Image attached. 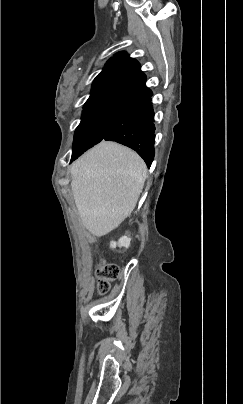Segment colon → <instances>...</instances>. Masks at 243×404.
I'll return each mask as SVG.
<instances>
[{"label": "colon", "mask_w": 243, "mask_h": 404, "mask_svg": "<svg viewBox=\"0 0 243 404\" xmlns=\"http://www.w3.org/2000/svg\"><path fill=\"white\" fill-rule=\"evenodd\" d=\"M120 269L113 263H102L96 271L98 279L97 289L100 294H106L110 288V282L117 279Z\"/></svg>", "instance_id": "obj_1"}]
</instances>
